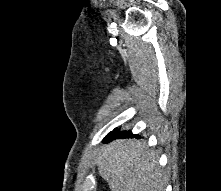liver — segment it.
<instances>
[{"mask_svg":"<svg viewBox=\"0 0 221 191\" xmlns=\"http://www.w3.org/2000/svg\"><path fill=\"white\" fill-rule=\"evenodd\" d=\"M96 163L111 191H164L167 178L158 166L156 152L146 142L115 140L103 149Z\"/></svg>","mask_w":221,"mask_h":191,"instance_id":"liver-1","label":"liver"}]
</instances>
